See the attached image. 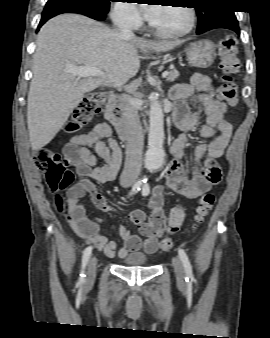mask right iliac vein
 <instances>
[{
  "mask_svg": "<svg viewBox=\"0 0 270 338\" xmlns=\"http://www.w3.org/2000/svg\"><path fill=\"white\" fill-rule=\"evenodd\" d=\"M96 269H97V259L96 257H91L88 263L87 268V277H86V285H91L96 277Z\"/></svg>",
  "mask_w": 270,
  "mask_h": 338,
  "instance_id": "obj_1",
  "label": "right iliac vein"
}]
</instances>
